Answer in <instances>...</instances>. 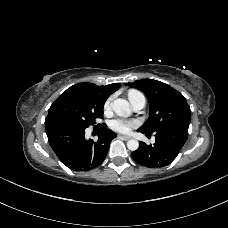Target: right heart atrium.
<instances>
[{"label":"right heart atrium","instance_id":"1","mask_svg":"<svg viewBox=\"0 0 228 228\" xmlns=\"http://www.w3.org/2000/svg\"><path fill=\"white\" fill-rule=\"evenodd\" d=\"M110 102H111V99L108 98L105 103H104V110H108L109 107H110Z\"/></svg>","mask_w":228,"mask_h":228}]
</instances>
